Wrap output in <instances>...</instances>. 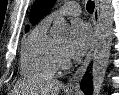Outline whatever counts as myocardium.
Masks as SVG:
<instances>
[{
    "label": "myocardium",
    "mask_w": 119,
    "mask_h": 95,
    "mask_svg": "<svg viewBox=\"0 0 119 95\" xmlns=\"http://www.w3.org/2000/svg\"><path fill=\"white\" fill-rule=\"evenodd\" d=\"M56 64L59 67L66 68L70 65V62L64 54L63 48L56 44Z\"/></svg>",
    "instance_id": "myocardium-1"
}]
</instances>
